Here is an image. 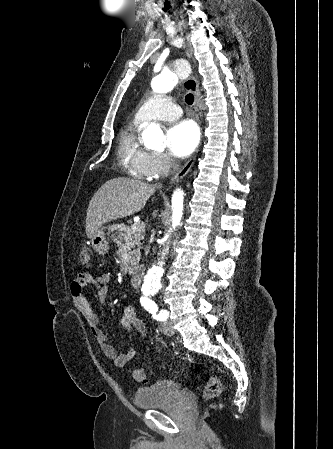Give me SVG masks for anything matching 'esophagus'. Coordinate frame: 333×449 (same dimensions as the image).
<instances>
[{"label": "esophagus", "instance_id": "34e87169", "mask_svg": "<svg viewBox=\"0 0 333 449\" xmlns=\"http://www.w3.org/2000/svg\"><path fill=\"white\" fill-rule=\"evenodd\" d=\"M192 54H193V48L190 44H188L187 46V56L188 58H192ZM184 88L186 90H189L193 93L194 98H195V105L197 107H199V103H200V90H199V83L197 81V79L194 76L189 77L185 83H184ZM196 159V155H194L183 167L182 169L176 174L174 175V177H172L171 182H175L178 181L179 179L183 178L191 169V167L194 164V161Z\"/></svg>", "mask_w": 333, "mask_h": 449}]
</instances>
